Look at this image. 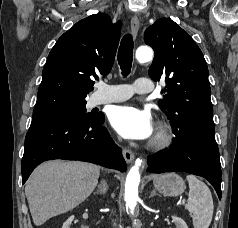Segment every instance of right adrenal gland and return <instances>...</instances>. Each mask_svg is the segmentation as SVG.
Here are the masks:
<instances>
[{"instance_id":"2a0ac1e0","label":"right adrenal gland","mask_w":238,"mask_h":228,"mask_svg":"<svg viewBox=\"0 0 238 228\" xmlns=\"http://www.w3.org/2000/svg\"><path fill=\"white\" fill-rule=\"evenodd\" d=\"M108 190V185L105 181H101V183L98 185L97 190L94 192V194H105Z\"/></svg>"}]
</instances>
